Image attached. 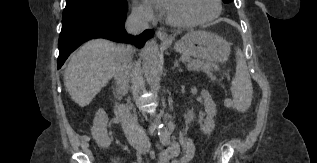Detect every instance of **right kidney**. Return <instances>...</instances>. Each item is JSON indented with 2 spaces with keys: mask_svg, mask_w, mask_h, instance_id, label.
I'll return each mask as SVG.
<instances>
[{
  "mask_svg": "<svg viewBox=\"0 0 317 163\" xmlns=\"http://www.w3.org/2000/svg\"><path fill=\"white\" fill-rule=\"evenodd\" d=\"M108 116L103 109L96 112L91 134L97 145L101 148L109 147L111 141L107 136Z\"/></svg>",
  "mask_w": 317,
  "mask_h": 163,
  "instance_id": "1",
  "label": "right kidney"
}]
</instances>
